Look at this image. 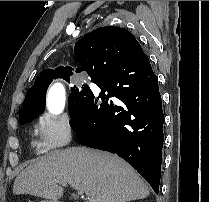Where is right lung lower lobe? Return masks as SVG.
Returning <instances> with one entry per match:
<instances>
[{"mask_svg":"<svg viewBox=\"0 0 209 202\" xmlns=\"http://www.w3.org/2000/svg\"><path fill=\"white\" fill-rule=\"evenodd\" d=\"M137 63L141 70H129L124 82L112 76L95 81L101 93L87 100L83 111L70 119V126L82 144L127 161L158 194L165 119L148 57Z\"/></svg>","mask_w":209,"mask_h":202,"instance_id":"obj_1","label":"right lung lower lobe"}]
</instances>
